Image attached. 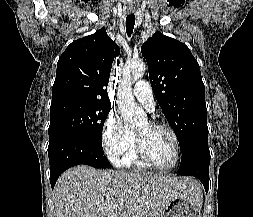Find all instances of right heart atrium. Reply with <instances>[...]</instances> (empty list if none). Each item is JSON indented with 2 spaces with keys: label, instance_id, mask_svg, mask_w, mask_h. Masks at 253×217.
Returning <instances> with one entry per match:
<instances>
[{
  "label": "right heart atrium",
  "instance_id": "right-heart-atrium-1",
  "mask_svg": "<svg viewBox=\"0 0 253 217\" xmlns=\"http://www.w3.org/2000/svg\"><path fill=\"white\" fill-rule=\"evenodd\" d=\"M134 140V133L126 128L120 115L110 111L102 128V143L110 160L117 163Z\"/></svg>",
  "mask_w": 253,
  "mask_h": 217
}]
</instances>
